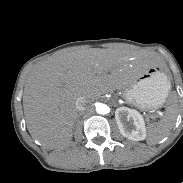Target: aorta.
Returning a JSON list of instances; mask_svg holds the SVG:
<instances>
[{
    "label": "aorta",
    "mask_w": 183,
    "mask_h": 183,
    "mask_svg": "<svg viewBox=\"0 0 183 183\" xmlns=\"http://www.w3.org/2000/svg\"><path fill=\"white\" fill-rule=\"evenodd\" d=\"M109 111H110V108L106 104L99 103L96 105V112L98 114L104 115L109 113Z\"/></svg>",
    "instance_id": "obj_1"
}]
</instances>
